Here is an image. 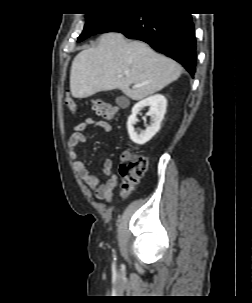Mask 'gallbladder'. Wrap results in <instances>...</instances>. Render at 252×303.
Segmentation results:
<instances>
[{"instance_id": "gallbladder-1", "label": "gallbladder", "mask_w": 252, "mask_h": 303, "mask_svg": "<svg viewBox=\"0 0 252 303\" xmlns=\"http://www.w3.org/2000/svg\"><path fill=\"white\" fill-rule=\"evenodd\" d=\"M125 101V97L123 96H119L116 98V103L117 105H119L120 107H123L124 106V102Z\"/></svg>"}]
</instances>
